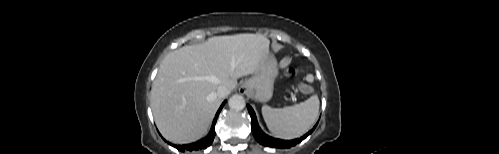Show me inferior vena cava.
<instances>
[{
	"label": "inferior vena cava",
	"instance_id": "602c4592",
	"mask_svg": "<svg viewBox=\"0 0 499 154\" xmlns=\"http://www.w3.org/2000/svg\"><path fill=\"white\" fill-rule=\"evenodd\" d=\"M229 90L225 86H219L216 91L218 98H224L229 95Z\"/></svg>",
	"mask_w": 499,
	"mask_h": 154
}]
</instances>
